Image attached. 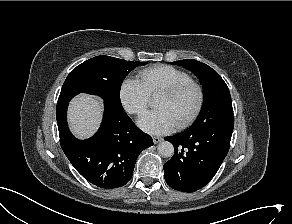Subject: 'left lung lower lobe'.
<instances>
[{
	"label": "left lung lower lobe",
	"mask_w": 292,
	"mask_h": 224,
	"mask_svg": "<svg viewBox=\"0 0 292 224\" xmlns=\"http://www.w3.org/2000/svg\"><path fill=\"white\" fill-rule=\"evenodd\" d=\"M233 128L234 120H228L165 137L175 148L163 166L167 184L178 191L194 192L209 183L228 153Z\"/></svg>",
	"instance_id": "left-lung-lower-lobe-1"
}]
</instances>
